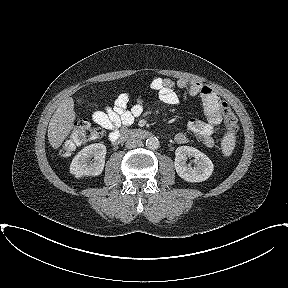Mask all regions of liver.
Wrapping results in <instances>:
<instances>
[{
  "label": "liver",
  "instance_id": "1",
  "mask_svg": "<svg viewBox=\"0 0 288 288\" xmlns=\"http://www.w3.org/2000/svg\"><path fill=\"white\" fill-rule=\"evenodd\" d=\"M75 118L73 99L66 98L54 112L48 126V140L54 149L59 148L70 134Z\"/></svg>",
  "mask_w": 288,
  "mask_h": 288
}]
</instances>
